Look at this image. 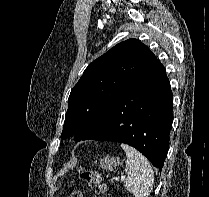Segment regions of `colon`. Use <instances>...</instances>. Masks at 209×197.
<instances>
[{"mask_svg": "<svg viewBox=\"0 0 209 197\" xmlns=\"http://www.w3.org/2000/svg\"><path fill=\"white\" fill-rule=\"evenodd\" d=\"M81 179L86 183V185L92 189H97L101 192L105 190V184L102 178V175L98 172H82ZM70 197H83L80 191H73L70 194Z\"/></svg>", "mask_w": 209, "mask_h": 197, "instance_id": "1", "label": "colon"}]
</instances>
